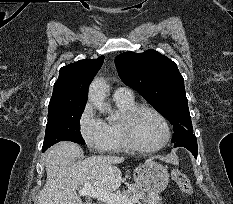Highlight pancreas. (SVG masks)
<instances>
[{
    "instance_id": "obj_1",
    "label": "pancreas",
    "mask_w": 233,
    "mask_h": 204,
    "mask_svg": "<svg viewBox=\"0 0 233 204\" xmlns=\"http://www.w3.org/2000/svg\"><path fill=\"white\" fill-rule=\"evenodd\" d=\"M145 190H141V187L137 184L131 185L127 190H123L121 192L122 196L131 198L135 194H141L145 195L144 193ZM148 194L146 195L145 203L147 204H162V198L156 194V193H151L147 192Z\"/></svg>"
}]
</instances>
